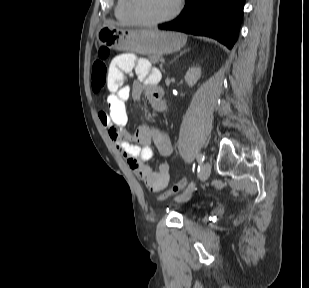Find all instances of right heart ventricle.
Masks as SVG:
<instances>
[{
    "label": "right heart ventricle",
    "instance_id": "obj_1",
    "mask_svg": "<svg viewBox=\"0 0 309 288\" xmlns=\"http://www.w3.org/2000/svg\"><path fill=\"white\" fill-rule=\"evenodd\" d=\"M114 13L115 17L120 23L125 25L133 24V21L131 20L126 11V0H117Z\"/></svg>",
    "mask_w": 309,
    "mask_h": 288
}]
</instances>
